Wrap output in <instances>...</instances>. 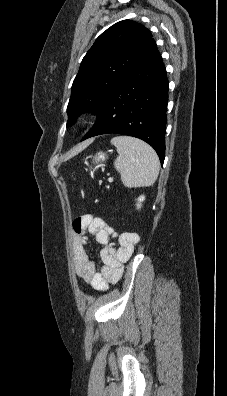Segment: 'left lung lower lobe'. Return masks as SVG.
Listing matches in <instances>:
<instances>
[{
  "label": "left lung lower lobe",
  "instance_id": "obj_1",
  "mask_svg": "<svg viewBox=\"0 0 227 396\" xmlns=\"http://www.w3.org/2000/svg\"><path fill=\"white\" fill-rule=\"evenodd\" d=\"M167 103L166 70L155 47L107 97L82 141L110 133L137 137L155 149L163 164Z\"/></svg>",
  "mask_w": 227,
  "mask_h": 396
}]
</instances>
